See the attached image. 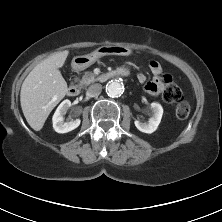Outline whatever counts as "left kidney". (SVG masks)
Here are the masks:
<instances>
[{
    "instance_id": "obj_1",
    "label": "left kidney",
    "mask_w": 222,
    "mask_h": 222,
    "mask_svg": "<svg viewBox=\"0 0 222 222\" xmlns=\"http://www.w3.org/2000/svg\"><path fill=\"white\" fill-rule=\"evenodd\" d=\"M150 108L152 111V117L148 120V122H140L138 120L134 122L139 131L149 134L153 133L157 129L163 115V108L161 104L153 102L151 103Z\"/></svg>"
}]
</instances>
